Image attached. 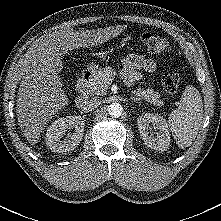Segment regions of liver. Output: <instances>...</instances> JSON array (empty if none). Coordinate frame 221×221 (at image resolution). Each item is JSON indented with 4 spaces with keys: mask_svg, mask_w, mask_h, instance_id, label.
Here are the masks:
<instances>
[{
    "mask_svg": "<svg viewBox=\"0 0 221 221\" xmlns=\"http://www.w3.org/2000/svg\"><path fill=\"white\" fill-rule=\"evenodd\" d=\"M123 29V26H116L74 32L66 28L42 38L29 51L18 91L16 112L20 129L30 144L38 142L52 115L69 102L61 78L57 75L63 68L62 55L76 48L103 44Z\"/></svg>",
    "mask_w": 221,
    "mask_h": 221,
    "instance_id": "6515ba94",
    "label": "liver"
}]
</instances>
